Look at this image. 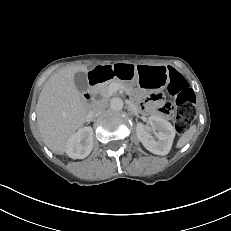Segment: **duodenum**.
Wrapping results in <instances>:
<instances>
[{"instance_id": "1", "label": "duodenum", "mask_w": 231, "mask_h": 231, "mask_svg": "<svg viewBox=\"0 0 231 231\" xmlns=\"http://www.w3.org/2000/svg\"><path fill=\"white\" fill-rule=\"evenodd\" d=\"M102 74H103L102 71H97L89 75L91 91L85 93L84 95L85 101H89L93 98V91L96 87V84L101 80Z\"/></svg>"}]
</instances>
